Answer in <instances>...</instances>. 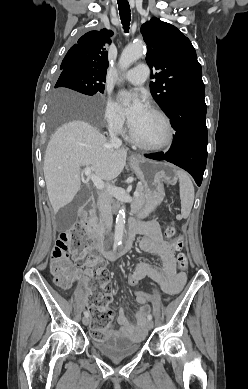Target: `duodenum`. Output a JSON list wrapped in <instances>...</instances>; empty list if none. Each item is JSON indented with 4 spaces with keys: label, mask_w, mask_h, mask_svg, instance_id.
<instances>
[{
    "label": "duodenum",
    "mask_w": 248,
    "mask_h": 389,
    "mask_svg": "<svg viewBox=\"0 0 248 389\" xmlns=\"http://www.w3.org/2000/svg\"><path fill=\"white\" fill-rule=\"evenodd\" d=\"M96 210L94 208L88 209L87 207H82L80 209L81 224L85 226L88 232L89 239L92 243V246L101 254H103L107 259H115L123 252L127 251L134 241L136 234L140 233V226L136 223H132L127 232L124 244L121 247H118L113 250H106L104 247L102 235H100L95 229L94 217Z\"/></svg>",
    "instance_id": "duodenum-1"
}]
</instances>
